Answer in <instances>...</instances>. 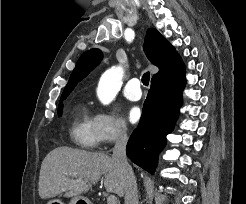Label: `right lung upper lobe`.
<instances>
[{"label":"right lung upper lobe","instance_id":"right-lung-upper-lobe-1","mask_svg":"<svg viewBox=\"0 0 246 204\" xmlns=\"http://www.w3.org/2000/svg\"><path fill=\"white\" fill-rule=\"evenodd\" d=\"M144 50L148 59L159 68V72L153 77L184 66L174 47L154 28L147 30ZM101 59L102 53L99 49L84 52L70 75L61 97H67L77 83L97 66Z\"/></svg>","mask_w":246,"mask_h":204}]
</instances>
